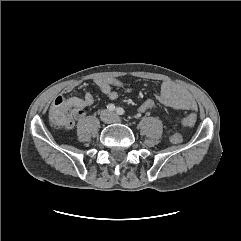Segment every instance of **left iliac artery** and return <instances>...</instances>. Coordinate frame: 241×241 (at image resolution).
<instances>
[{"label": "left iliac artery", "mask_w": 241, "mask_h": 241, "mask_svg": "<svg viewBox=\"0 0 241 241\" xmlns=\"http://www.w3.org/2000/svg\"><path fill=\"white\" fill-rule=\"evenodd\" d=\"M116 113L119 115H123L125 113V110L122 107L116 108Z\"/></svg>", "instance_id": "1"}]
</instances>
